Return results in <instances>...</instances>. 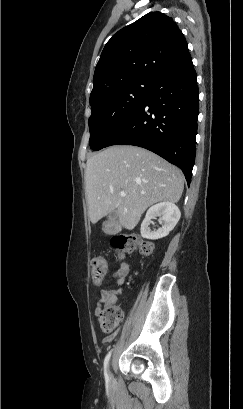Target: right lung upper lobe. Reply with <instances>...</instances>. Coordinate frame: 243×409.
<instances>
[{"mask_svg":"<svg viewBox=\"0 0 243 409\" xmlns=\"http://www.w3.org/2000/svg\"><path fill=\"white\" fill-rule=\"evenodd\" d=\"M187 42L171 17L150 12L114 34L96 65L90 104L134 81L154 83L186 51Z\"/></svg>","mask_w":243,"mask_h":409,"instance_id":"cb5924a9","label":"right lung upper lobe"}]
</instances>
